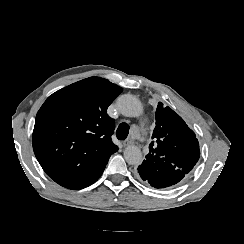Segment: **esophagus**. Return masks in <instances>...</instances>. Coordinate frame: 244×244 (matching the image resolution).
Here are the masks:
<instances>
[{
  "label": "esophagus",
  "instance_id": "esophagus-1",
  "mask_svg": "<svg viewBox=\"0 0 244 244\" xmlns=\"http://www.w3.org/2000/svg\"><path fill=\"white\" fill-rule=\"evenodd\" d=\"M132 142H133V141H132L130 138H128V139H126L125 141H123L122 145H123L124 147H127V146L131 145Z\"/></svg>",
  "mask_w": 244,
  "mask_h": 244
}]
</instances>
